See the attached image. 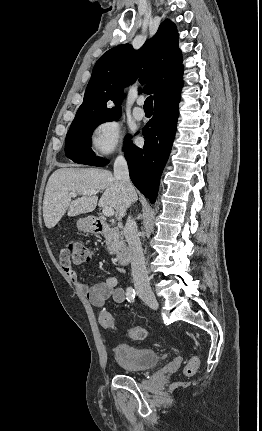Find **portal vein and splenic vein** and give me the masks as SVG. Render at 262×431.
<instances>
[{
    "mask_svg": "<svg viewBox=\"0 0 262 431\" xmlns=\"http://www.w3.org/2000/svg\"><path fill=\"white\" fill-rule=\"evenodd\" d=\"M97 193H98V191L90 190V191H85V192H83L81 194H83V195H96ZM70 195L72 197H76L78 195V193L72 191V192H70ZM102 212H103L104 216H107V217L113 216L114 213H115L114 209L112 207H105V208H103Z\"/></svg>",
    "mask_w": 262,
    "mask_h": 431,
    "instance_id": "1",
    "label": "portal vein and splenic vein"
}]
</instances>
